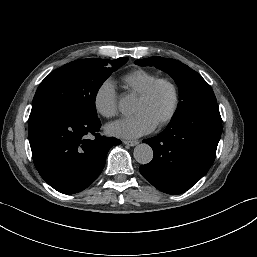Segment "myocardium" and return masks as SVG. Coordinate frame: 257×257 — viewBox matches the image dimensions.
<instances>
[{
    "mask_svg": "<svg viewBox=\"0 0 257 257\" xmlns=\"http://www.w3.org/2000/svg\"><path fill=\"white\" fill-rule=\"evenodd\" d=\"M161 85H167L171 89L173 103L169 113L157 124L158 127H164L168 125L170 122H172V120L175 118V116L178 113V110L180 107V93L176 83L170 78L160 77L155 81H153L144 91H142L137 96V98L140 100H147L154 94V92Z\"/></svg>",
    "mask_w": 257,
    "mask_h": 257,
    "instance_id": "obj_1",
    "label": "myocardium"
}]
</instances>
